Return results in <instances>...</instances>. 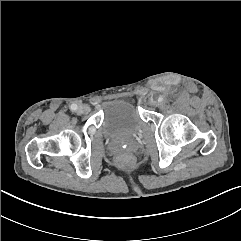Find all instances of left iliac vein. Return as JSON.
Segmentation results:
<instances>
[{
    "label": "left iliac vein",
    "mask_w": 241,
    "mask_h": 241,
    "mask_svg": "<svg viewBox=\"0 0 241 241\" xmlns=\"http://www.w3.org/2000/svg\"><path fill=\"white\" fill-rule=\"evenodd\" d=\"M149 104L153 105V106H157L159 103L156 100H154V99H150L149 100Z\"/></svg>",
    "instance_id": "obj_1"
}]
</instances>
